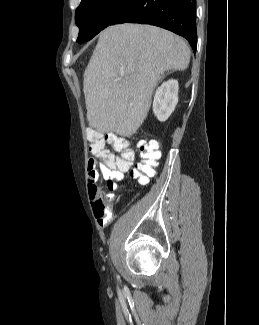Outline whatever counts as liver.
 Listing matches in <instances>:
<instances>
[{
  "label": "liver",
  "mask_w": 259,
  "mask_h": 325,
  "mask_svg": "<svg viewBox=\"0 0 259 325\" xmlns=\"http://www.w3.org/2000/svg\"><path fill=\"white\" fill-rule=\"evenodd\" d=\"M191 51L178 35L125 23L103 30L84 73L90 127L131 137L144 122L161 75L185 70Z\"/></svg>",
  "instance_id": "obj_1"
}]
</instances>
